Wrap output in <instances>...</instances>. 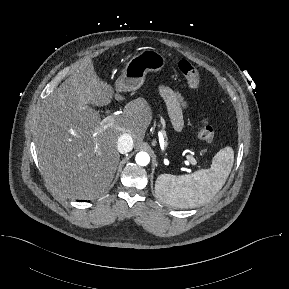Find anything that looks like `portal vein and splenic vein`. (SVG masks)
I'll use <instances>...</instances> for the list:
<instances>
[{
  "instance_id": "portal-vein-and-splenic-vein-1",
  "label": "portal vein and splenic vein",
  "mask_w": 289,
  "mask_h": 289,
  "mask_svg": "<svg viewBox=\"0 0 289 289\" xmlns=\"http://www.w3.org/2000/svg\"><path fill=\"white\" fill-rule=\"evenodd\" d=\"M114 121H115V116H113V115H109V116H107L106 118H104L103 120H102V123H103V125H104V128H107V127H110V126H112L113 125V123H114ZM187 160H188V162L191 164V165H193V166H196L197 165V161H196V159L193 157V156H187Z\"/></svg>"
}]
</instances>
